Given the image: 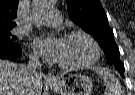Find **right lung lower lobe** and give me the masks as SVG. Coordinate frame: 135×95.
<instances>
[{"instance_id": "98d812e1", "label": "right lung lower lobe", "mask_w": 135, "mask_h": 95, "mask_svg": "<svg viewBox=\"0 0 135 95\" xmlns=\"http://www.w3.org/2000/svg\"><path fill=\"white\" fill-rule=\"evenodd\" d=\"M22 49L20 47H16L13 49L0 50V59H16L21 56Z\"/></svg>"}]
</instances>
